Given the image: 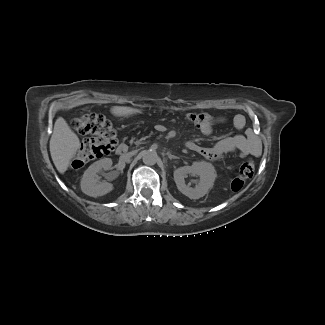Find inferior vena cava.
<instances>
[{
  "instance_id": "obj_1",
  "label": "inferior vena cava",
  "mask_w": 325,
  "mask_h": 325,
  "mask_svg": "<svg viewBox=\"0 0 325 325\" xmlns=\"http://www.w3.org/2000/svg\"><path fill=\"white\" fill-rule=\"evenodd\" d=\"M130 157H131V154H125V155L123 156V158H124L125 160L130 159Z\"/></svg>"
}]
</instances>
